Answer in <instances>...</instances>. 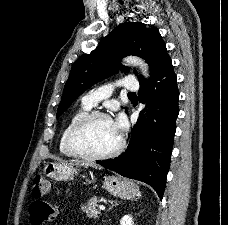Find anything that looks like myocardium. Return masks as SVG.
Returning <instances> with one entry per match:
<instances>
[{
  "instance_id": "f54148a6",
  "label": "myocardium",
  "mask_w": 228,
  "mask_h": 225,
  "mask_svg": "<svg viewBox=\"0 0 228 225\" xmlns=\"http://www.w3.org/2000/svg\"><path fill=\"white\" fill-rule=\"evenodd\" d=\"M97 119H105V120L112 122L110 116L103 112H89L86 115H84L83 117H81L71 128L69 135H68V147H69V150L74 155L81 157V158H85V159L101 160V159H107V158L116 156L124 149L125 141L121 135H120V140H119L118 145L114 149L107 151L105 153H100V154L91 153L80 147V145L78 143V138H79L81 132L91 122H93L94 120H97Z\"/></svg>"
}]
</instances>
